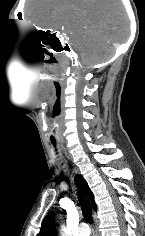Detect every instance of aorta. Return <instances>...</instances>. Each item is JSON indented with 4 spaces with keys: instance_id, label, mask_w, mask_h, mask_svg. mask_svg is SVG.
<instances>
[{
    "instance_id": "1",
    "label": "aorta",
    "mask_w": 145,
    "mask_h": 236,
    "mask_svg": "<svg viewBox=\"0 0 145 236\" xmlns=\"http://www.w3.org/2000/svg\"><path fill=\"white\" fill-rule=\"evenodd\" d=\"M62 236H67L66 233H63Z\"/></svg>"
}]
</instances>
